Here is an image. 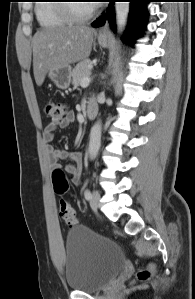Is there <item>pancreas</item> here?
<instances>
[{
    "mask_svg": "<svg viewBox=\"0 0 195 299\" xmlns=\"http://www.w3.org/2000/svg\"><path fill=\"white\" fill-rule=\"evenodd\" d=\"M91 66L92 62L90 59H85L75 66L72 71V84L75 87L81 85V80L90 75Z\"/></svg>",
    "mask_w": 195,
    "mask_h": 299,
    "instance_id": "pancreas-1",
    "label": "pancreas"
}]
</instances>
